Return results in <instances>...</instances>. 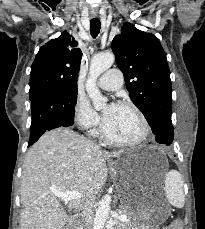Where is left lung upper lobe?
I'll return each mask as SVG.
<instances>
[{
  "instance_id": "obj_1",
  "label": "left lung upper lobe",
  "mask_w": 205,
  "mask_h": 229,
  "mask_svg": "<svg viewBox=\"0 0 205 229\" xmlns=\"http://www.w3.org/2000/svg\"><path fill=\"white\" fill-rule=\"evenodd\" d=\"M111 48L123 72L132 102L148 121L156 141L170 145L174 138L171 121V79L166 54L158 38L125 23Z\"/></svg>"
}]
</instances>
